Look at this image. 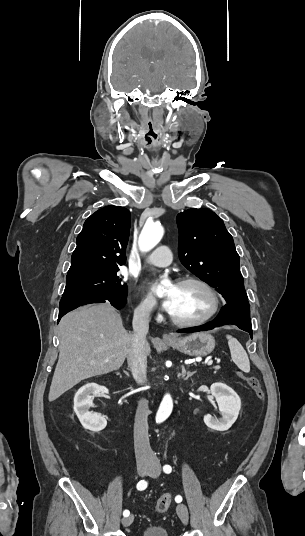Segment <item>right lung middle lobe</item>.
<instances>
[{"label": "right lung middle lobe", "instance_id": "right-lung-middle-lobe-1", "mask_svg": "<svg viewBox=\"0 0 305 536\" xmlns=\"http://www.w3.org/2000/svg\"><path fill=\"white\" fill-rule=\"evenodd\" d=\"M119 269L93 272L67 278L63 296L90 295L104 298H126L128 288L117 272Z\"/></svg>", "mask_w": 305, "mask_h": 536}]
</instances>
